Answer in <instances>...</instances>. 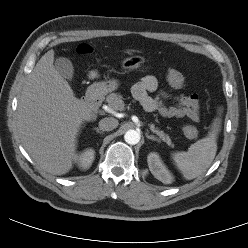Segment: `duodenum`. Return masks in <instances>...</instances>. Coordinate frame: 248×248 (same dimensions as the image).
I'll list each match as a JSON object with an SVG mask.
<instances>
[{"label": "duodenum", "instance_id": "duodenum-1", "mask_svg": "<svg viewBox=\"0 0 248 248\" xmlns=\"http://www.w3.org/2000/svg\"><path fill=\"white\" fill-rule=\"evenodd\" d=\"M102 97L98 91H92L86 96L85 107L88 111L89 118L94 117L95 110L100 106Z\"/></svg>", "mask_w": 248, "mask_h": 248}]
</instances>
